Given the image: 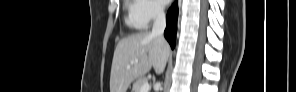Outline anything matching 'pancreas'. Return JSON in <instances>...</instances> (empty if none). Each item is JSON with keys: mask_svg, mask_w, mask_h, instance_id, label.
<instances>
[{"mask_svg": "<svg viewBox=\"0 0 296 92\" xmlns=\"http://www.w3.org/2000/svg\"><path fill=\"white\" fill-rule=\"evenodd\" d=\"M146 82H148V80L145 77H141V78L137 79L135 81V83L133 84L132 92H140L141 86Z\"/></svg>", "mask_w": 296, "mask_h": 92, "instance_id": "cf45deb5", "label": "pancreas"}]
</instances>
